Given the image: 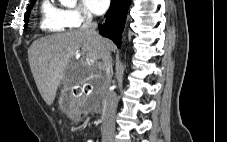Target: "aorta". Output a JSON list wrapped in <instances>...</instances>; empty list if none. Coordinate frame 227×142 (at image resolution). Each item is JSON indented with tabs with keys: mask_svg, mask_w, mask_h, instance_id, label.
<instances>
[{
	"mask_svg": "<svg viewBox=\"0 0 227 142\" xmlns=\"http://www.w3.org/2000/svg\"><path fill=\"white\" fill-rule=\"evenodd\" d=\"M62 3L68 5V6H74L77 2V0H61Z\"/></svg>",
	"mask_w": 227,
	"mask_h": 142,
	"instance_id": "aorta-1",
	"label": "aorta"
}]
</instances>
